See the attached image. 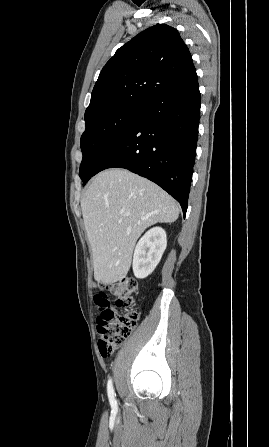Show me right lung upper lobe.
Listing matches in <instances>:
<instances>
[{"label":"right lung upper lobe","instance_id":"obj_1","mask_svg":"<svg viewBox=\"0 0 269 447\" xmlns=\"http://www.w3.org/2000/svg\"><path fill=\"white\" fill-rule=\"evenodd\" d=\"M193 65L179 32L157 24L119 48L103 67L85 111V121L142 104L182 77Z\"/></svg>","mask_w":269,"mask_h":447}]
</instances>
